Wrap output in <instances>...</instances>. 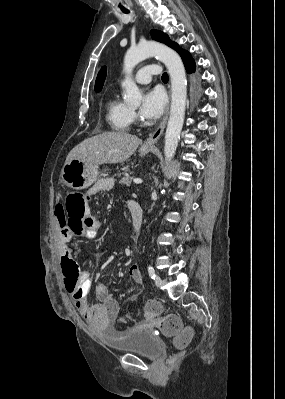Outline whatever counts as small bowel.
I'll use <instances>...</instances> for the list:
<instances>
[{
    "instance_id": "1",
    "label": "small bowel",
    "mask_w": 285,
    "mask_h": 399,
    "mask_svg": "<svg viewBox=\"0 0 285 399\" xmlns=\"http://www.w3.org/2000/svg\"><path fill=\"white\" fill-rule=\"evenodd\" d=\"M106 189L103 184H97L93 188H91L88 192V195H94L102 190ZM134 205H139L136 201L130 200L129 201V209H131ZM87 213L91 219L92 225L91 229L88 233V238L92 239L95 237L97 231L99 230L101 223L99 219L93 217L90 213V206L89 204L86 205ZM57 215L61 214V206L58 205L55 209ZM60 232H59V254L62 257L64 256H71V250L66 247L64 244L71 238V233L67 226L59 225ZM129 277L137 286L143 285V276L141 271L139 270L138 266L133 265L129 269ZM82 288H81V295L79 299L71 298L75 302V306L84 319L87 321L89 325L97 329H103L109 326L110 324L114 323L119 315V304L118 302L112 297L109 287L104 282H98L95 285V295L98 299V303H89L87 299V291L90 289V277L87 271L83 272L82 275ZM138 295H135L134 298H137ZM148 323V320L145 321ZM139 325H144V323H140Z\"/></svg>"
}]
</instances>
